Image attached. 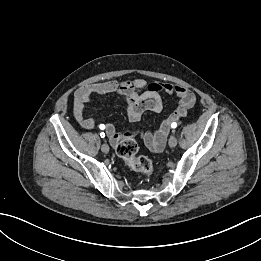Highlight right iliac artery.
Instances as JSON below:
<instances>
[{"mask_svg":"<svg viewBox=\"0 0 261 261\" xmlns=\"http://www.w3.org/2000/svg\"><path fill=\"white\" fill-rule=\"evenodd\" d=\"M105 128V126L103 125V124H101L100 125V129H104ZM100 136L102 137V138H104L105 137V133L104 132H101L100 133Z\"/></svg>","mask_w":261,"mask_h":261,"instance_id":"right-iliac-artery-1","label":"right iliac artery"}]
</instances>
